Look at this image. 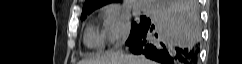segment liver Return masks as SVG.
<instances>
[{
	"label": "liver",
	"instance_id": "1",
	"mask_svg": "<svg viewBox=\"0 0 242 64\" xmlns=\"http://www.w3.org/2000/svg\"><path fill=\"white\" fill-rule=\"evenodd\" d=\"M180 24L186 35L193 36L197 39L200 37V29L198 23L193 19L190 13L183 12L180 18ZM79 64H155L153 61L141 56L121 55L113 53L102 56L98 59H87L80 61Z\"/></svg>",
	"mask_w": 242,
	"mask_h": 64
}]
</instances>
